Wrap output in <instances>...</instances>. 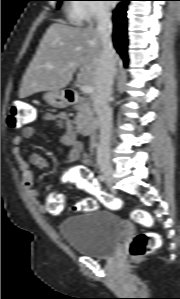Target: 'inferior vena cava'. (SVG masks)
I'll use <instances>...</instances> for the list:
<instances>
[{"label":"inferior vena cava","instance_id":"obj_1","mask_svg":"<svg viewBox=\"0 0 180 299\" xmlns=\"http://www.w3.org/2000/svg\"><path fill=\"white\" fill-rule=\"evenodd\" d=\"M97 31L102 39L103 50L99 56L96 70L93 107L99 119L98 159H108L110 155V140L112 131V109L108 102L112 94V85L116 72L114 60L115 51L112 46L111 14L104 8L97 11Z\"/></svg>","mask_w":180,"mask_h":299}]
</instances>
